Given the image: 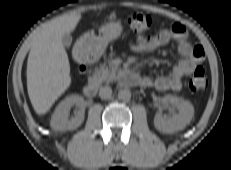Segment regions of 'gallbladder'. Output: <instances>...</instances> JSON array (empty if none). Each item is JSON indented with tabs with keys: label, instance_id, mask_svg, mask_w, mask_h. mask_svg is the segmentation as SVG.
Returning a JSON list of instances; mask_svg holds the SVG:
<instances>
[{
	"label": "gallbladder",
	"instance_id": "gallbladder-1",
	"mask_svg": "<svg viewBox=\"0 0 231 170\" xmlns=\"http://www.w3.org/2000/svg\"><path fill=\"white\" fill-rule=\"evenodd\" d=\"M72 43V36L69 33H66L62 37V44L65 48H69Z\"/></svg>",
	"mask_w": 231,
	"mask_h": 170
}]
</instances>
